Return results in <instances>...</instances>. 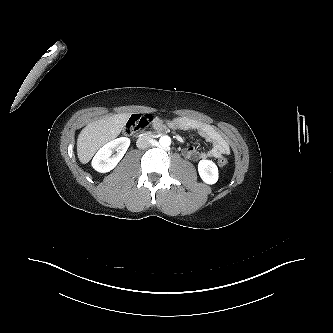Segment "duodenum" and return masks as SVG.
Instances as JSON below:
<instances>
[{"mask_svg": "<svg viewBox=\"0 0 333 333\" xmlns=\"http://www.w3.org/2000/svg\"><path fill=\"white\" fill-rule=\"evenodd\" d=\"M153 136V134L151 132H142L139 136H138V141H143L145 139H149Z\"/></svg>", "mask_w": 333, "mask_h": 333, "instance_id": "obj_1", "label": "duodenum"}]
</instances>
